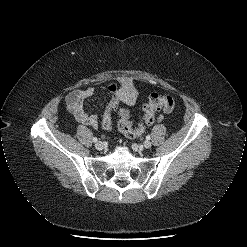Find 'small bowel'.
Here are the masks:
<instances>
[{"label":"small bowel","instance_id":"c3829d8e","mask_svg":"<svg viewBox=\"0 0 247 247\" xmlns=\"http://www.w3.org/2000/svg\"><path fill=\"white\" fill-rule=\"evenodd\" d=\"M106 91L112 94H118V85L114 82L108 84L105 88ZM96 92L95 88L87 87L84 89H78L70 92L66 97V103L69 112L74 116V118L85 125L91 126L93 128L99 125V116L97 114L89 113L84 108V100L92 96Z\"/></svg>","mask_w":247,"mask_h":247}]
</instances>
